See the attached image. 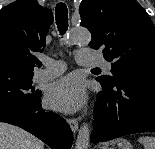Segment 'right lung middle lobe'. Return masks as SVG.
Here are the masks:
<instances>
[{"mask_svg":"<svg viewBox=\"0 0 155 149\" xmlns=\"http://www.w3.org/2000/svg\"><path fill=\"white\" fill-rule=\"evenodd\" d=\"M33 73H22L0 67V105L26 107L41 98L32 86Z\"/></svg>","mask_w":155,"mask_h":149,"instance_id":"obj_1","label":"right lung middle lobe"}]
</instances>
